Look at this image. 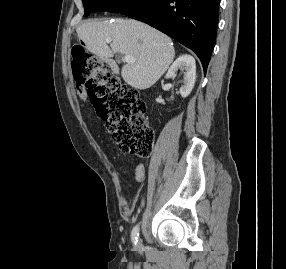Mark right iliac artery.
I'll return each mask as SVG.
<instances>
[{"instance_id": "right-iliac-artery-1", "label": "right iliac artery", "mask_w": 286, "mask_h": 269, "mask_svg": "<svg viewBox=\"0 0 286 269\" xmlns=\"http://www.w3.org/2000/svg\"><path fill=\"white\" fill-rule=\"evenodd\" d=\"M143 201H142V205H143ZM138 236H139V226H135L132 230V234H131V238H132V242L136 245L138 242Z\"/></svg>"}]
</instances>
